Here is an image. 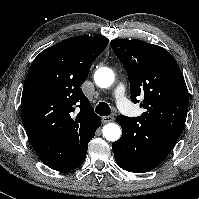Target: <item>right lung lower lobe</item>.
<instances>
[{"label": "right lung lower lobe", "mask_w": 199, "mask_h": 199, "mask_svg": "<svg viewBox=\"0 0 199 199\" xmlns=\"http://www.w3.org/2000/svg\"><path fill=\"white\" fill-rule=\"evenodd\" d=\"M101 125V119L99 122L87 133H84L78 137L70 139L65 143V154L59 158H53L40 154L36 150L38 157L50 168L56 171H70L78 168L85 160L88 143L94 137L96 129Z\"/></svg>", "instance_id": "98d812e1"}]
</instances>
